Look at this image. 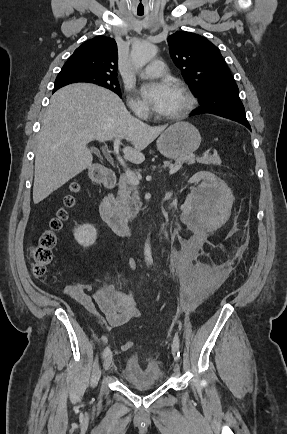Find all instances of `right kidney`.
I'll list each match as a JSON object with an SVG mask.
<instances>
[{
  "instance_id": "obj_1",
  "label": "right kidney",
  "mask_w": 287,
  "mask_h": 434,
  "mask_svg": "<svg viewBox=\"0 0 287 434\" xmlns=\"http://www.w3.org/2000/svg\"><path fill=\"white\" fill-rule=\"evenodd\" d=\"M74 237L79 245L83 247H89L96 241L97 230L94 226L85 224L75 228Z\"/></svg>"
}]
</instances>
